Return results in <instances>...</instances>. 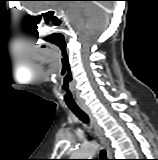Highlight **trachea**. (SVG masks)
Returning a JSON list of instances; mask_svg holds the SVG:
<instances>
[{
  "mask_svg": "<svg viewBox=\"0 0 158 160\" xmlns=\"http://www.w3.org/2000/svg\"><path fill=\"white\" fill-rule=\"evenodd\" d=\"M68 107L80 120L84 123H89L88 116L79 108L78 105H68ZM100 160H108L104 150L100 152Z\"/></svg>",
  "mask_w": 158,
  "mask_h": 160,
  "instance_id": "3493384b",
  "label": "trachea"
}]
</instances>
